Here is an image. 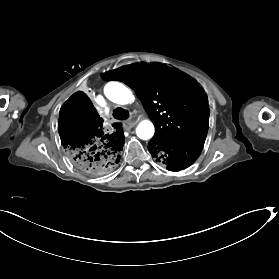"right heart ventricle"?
Here are the masks:
<instances>
[{"label": "right heart ventricle", "instance_id": "e07e8e85", "mask_svg": "<svg viewBox=\"0 0 279 279\" xmlns=\"http://www.w3.org/2000/svg\"><path fill=\"white\" fill-rule=\"evenodd\" d=\"M101 65H102V62H101V61L95 62V63L92 65V67L90 68V70L88 71V76H92V75L96 74L97 71L100 69ZM111 83L114 84V85H116L117 87H119L121 91H123V92H125V93L128 92V90L126 89V87H125L123 84L118 83V82H111ZM115 101H116L117 103H122V102H123V100H120V99H117V100H115Z\"/></svg>", "mask_w": 279, "mask_h": 279}]
</instances>
